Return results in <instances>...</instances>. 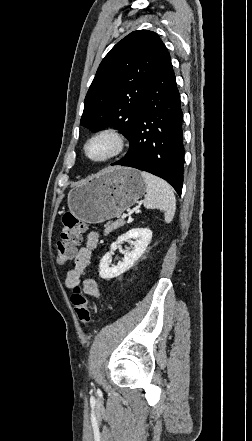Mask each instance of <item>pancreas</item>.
<instances>
[{
	"label": "pancreas",
	"mask_w": 252,
	"mask_h": 441,
	"mask_svg": "<svg viewBox=\"0 0 252 441\" xmlns=\"http://www.w3.org/2000/svg\"><path fill=\"white\" fill-rule=\"evenodd\" d=\"M124 225H125L124 220H116L114 222H108L107 224L104 225V227H105L104 233H105V235H107L110 232H112V231H114Z\"/></svg>",
	"instance_id": "1"
}]
</instances>
